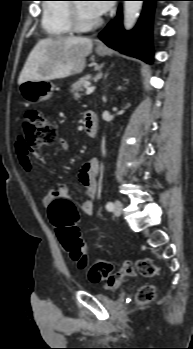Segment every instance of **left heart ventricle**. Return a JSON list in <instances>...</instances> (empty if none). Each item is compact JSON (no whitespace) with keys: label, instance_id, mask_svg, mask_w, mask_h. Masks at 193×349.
<instances>
[{"label":"left heart ventricle","instance_id":"1","mask_svg":"<svg viewBox=\"0 0 193 349\" xmlns=\"http://www.w3.org/2000/svg\"><path fill=\"white\" fill-rule=\"evenodd\" d=\"M80 6L82 15L86 20L96 17V15L90 11L88 3H80Z\"/></svg>","mask_w":193,"mask_h":349}]
</instances>
